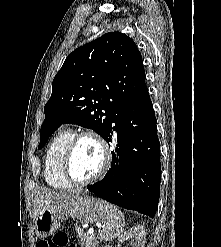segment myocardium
<instances>
[{
	"label": "myocardium",
	"mask_w": 221,
	"mask_h": 247,
	"mask_svg": "<svg viewBox=\"0 0 221 247\" xmlns=\"http://www.w3.org/2000/svg\"><path fill=\"white\" fill-rule=\"evenodd\" d=\"M85 138L92 139L95 141L102 153V165L99 169V171L94 174L93 176L84 179L79 180L76 179L71 171V160L73 152L78 145V143ZM112 163V152L110 149V146L108 145L107 141L102 137L99 133L93 131V130H83L73 135L71 141L69 142L64 156L62 160V173L66 180L74 185H87L91 184L93 182H96L97 180L103 178L105 174L108 172L110 166Z\"/></svg>",
	"instance_id": "1"
}]
</instances>
